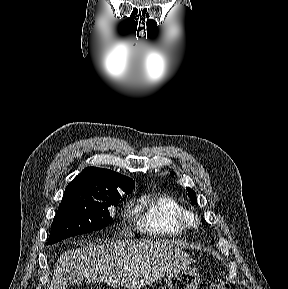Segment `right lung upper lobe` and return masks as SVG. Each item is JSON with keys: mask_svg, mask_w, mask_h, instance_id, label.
<instances>
[{"mask_svg": "<svg viewBox=\"0 0 288 289\" xmlns=\"http://www.w3.org/2000/svg\"><path fill=\"white\" fill-rule=\"evenodd\" d=\"M133 188L134 181L129 177L108 169L87 167L67 185L64 194L96 195Z\"/></svg>", "mask_w": 288, "mask_h": 289, "instance_id": "right-lung-upper-lobe-1", "label": "right lung upper lobe"}]
</instances>
